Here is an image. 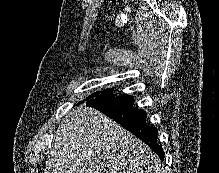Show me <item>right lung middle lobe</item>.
Returning a JSON list of instances; mask_svg holds the SVG:
<instances>
[{"mask_svg": "<svg viewBox=\"0 0 219 173\" xmlns=\"http://www.w3.org/2000/svg\"><path fill=\"white\" fill-rule=\"evenodd\" d=\"M100 93H101V94H100ZM110 94H112V90L107 89V90H104V91H102V92L98 91V92L92 94L91 96H89L88 98L96 97V96H98V95L105 96V95H110Z\"/></svg>", "mask_w": 219, "mask_h": 173, "instance_id": "dd1d6c3e", "label": "right lung middle lobe"}]
</instances>
